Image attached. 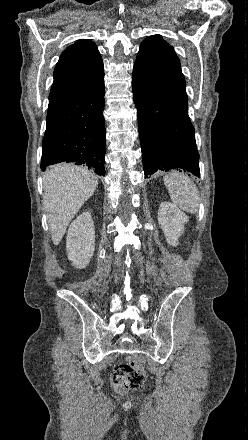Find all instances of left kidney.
Listing matches in <instances>:
<instances>
[{"mask_svg":"<svg viewBox=\"0 0 248 440\" xmlns=\"http://www.w3.org/2000/svg\"><path fill=\"white\" fill-rule=\"evenodd\" d=\"M158 222L169 245H178V239L184 232V224L188 217L177 206L170 202H162L158 210Z\"/></svg>","mask_w":248,"mask_h":440,"instance_id":"obj_1","label":"left kidney"}]
</instances>
